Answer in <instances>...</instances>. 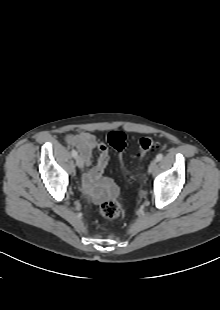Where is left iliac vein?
I'll return each mask as SVG.
<instances>
[{
  "mask_svg": "<svg viewBox=\"0 0 220 310\" xmlns=\"http://www.w3.org/2000/svg\"><path fill=\"white\" fill-rule=\"evenodd\" d=\"M156 167H157V160L154 159L148 166V173H152L156 169Z\"/></svg>",
  "mask_w": 220,
  "mask_h": 310,
  "instance_id": "left-iliac-vein-1",
  "label": "left iliac vein"
}]
</instances>
